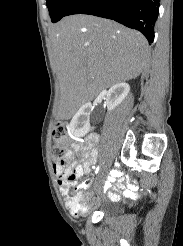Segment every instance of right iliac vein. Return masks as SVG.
Returning a JSON list of instances; mask_svg holds the SVG:
<instances>
[{
    "instance_id": "right-iliac-vein-1",
    "label": "right iliac vein",
    "mask_w": 183,
    "mask_h": 246,
    "mask_svg": "<svg viewBox=\"0 0 183 246\" xmlns=\"http://www.w3.org/2000/svg\"><path fill=\"white\" fill-rule=\"evenodd\" d=\"M98 180H99V178H97V180H96V185H97V183H98Z\"/></svg>"
}]
</instances>
